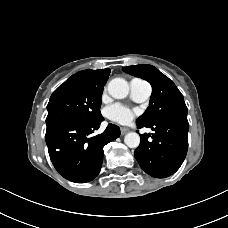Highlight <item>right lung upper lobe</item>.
<instances>
[{"mask_svg": "<svg viewBox=\"0 0 228 228\" xmlns=\"http://www.w3.org/2000/svg\"><path fill=\"white\" fill-rule=\"evenodd\" d=\"M110 69L83 70L72 75L69 79L88 88H104Z\"/></svg>", "mask_w": 228, "mask_h": 228, "instance_id": "1", "label": "right lung upper lobe"}]
</instances>
